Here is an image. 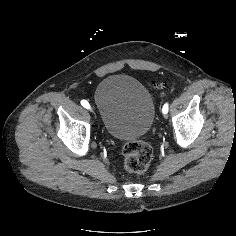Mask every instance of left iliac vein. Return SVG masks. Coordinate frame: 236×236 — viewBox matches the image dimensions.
<instances>
[{
    "label": "left iliac vein",
    "instance_id": "4c4485c4",
    "mask_svg": "<svg viewBox=\"0 0 236 236\" xmlns=\"http://www.w3.org/2000/svg\"><path fill=\"white\" fill-rule=\"evenodd\" d=\"M162 114H163V115H162L163 118H165V119L168 118V116H169L166 110H163V111H162Z\"/></svg>",
    "mask_w": 236,
    "mask_h": 236
}]
</instances>
